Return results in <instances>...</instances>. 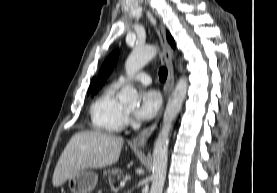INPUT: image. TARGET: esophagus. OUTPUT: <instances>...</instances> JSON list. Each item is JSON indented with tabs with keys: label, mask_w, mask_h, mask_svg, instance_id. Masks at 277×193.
<instances>
[{
	"label": "esophagus",
	"mask_w": 277,
	"mask_h": 193,
	"mask_svg": "<svg viewBox=\"0 0 277 193\" xmlns=\"http://www.w3.org/2000/svg\"><path fill=\"white\" fill-rule=\"evenodd\" d=\"M156 31L158 34V37L161 42L162 46V55L164 57L167 70H168V76H167V81L164 87V102L163 106L161 107L159 114L154 121L152 125L149 127L145 128L142 130L134 139H133V145L135 146H144L149 139L150 135L154 132V130L157 128V125L161 119L163 108H164V103L167 100V98L170 96L173 87H174V67H173V51L166 39V33L165 29L162 26V24H158L156 27Z\"/></svg>",
	"instance_id": "obj_1"
}]
</instances>
